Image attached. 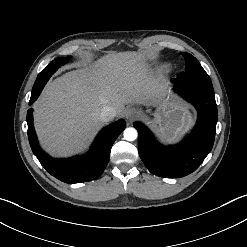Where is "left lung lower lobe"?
<instances>
[{"instance_id":"1","label":"left lung lower lobe","mask_w":247,"mask_h":247,"mask_svg":"<svg viewBox=\"0 0 247 247\" xmlns=\"http://www.w3.org/2000/svg\"><path fill=\"white\" fill-rule=\"evenodd\" d=\"M174 90L195 106L198 119L191 135L180 145L165 147L141 123L138 130V152L148 170L159 177L180 178L194 172L210 153L215 139L217 105L212 85L184 83L172 79Z\"/></svg>"}]
</instances>
